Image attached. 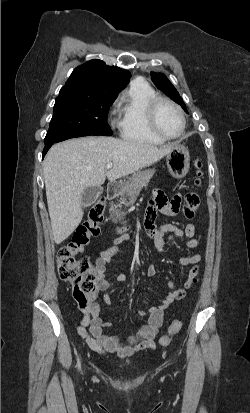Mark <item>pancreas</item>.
Returning a JSON list of instances; mask_svg holds the SVG:
<instances>
[{"label": "pancreas", "mask_w": 250, "mask_h": 413, "mask_svg": "<svg viewBox=\"0 0 250 413\" xmlns=\"http://www.w3.org/2000/svg\"><path fill=\"white\" fill-rule=\"evenodd\" d=\"M154 173L155 170L151 169L134 172L129 180L121 187L120 192L117 194L120 204H115L114 202L110 204L109 211L113 222H118L123 219L126 213L121 211L122 205H132L140 191L148 186Z\"/></svg>", "instance_id": "1"}]
</instances>
